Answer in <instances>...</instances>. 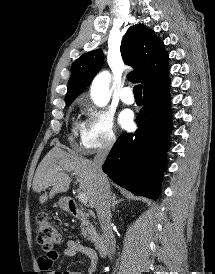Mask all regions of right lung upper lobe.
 Returning <instances> with one entry per match:
<instances>
[{
    "label": "right lung upper lobe",
    "instance_id": "right-lung-upper-lobe-1",
    "mask_svg": "<svg viewBox=\"0 0 215 274\" xmlns=\"http://www.w3.org/2000/svg\"><path fill=\"white\" fill-rule=\"evenodd\" d=\"M121 54L124 62L135 70L129 73L131 81L141 82L143 92L169 84L167 77L168 53L163 42L143 24L131 26L123 37ZM101 49L83 54L72 65L66 103H71L87 86L103 64Z\"/></svg>",
    "mask_w": 215,
    "mask_h": 274
}]
</instances>
